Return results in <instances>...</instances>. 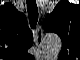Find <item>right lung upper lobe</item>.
<instances>
[{
    "label": "right lung upper lobe",
    "mask_w": 80,
    "mask_h": 60,
    "mask_svg": "<svg viewBox=\"0 0 80 60\" xmlns=\"http://www.w3.org/2000/svg\"><path fill=\"white\" fill-rule=\"evenodd\" d=\"M0 42L4 50L27 54L33 38L27 25L26 16L12 4L0 7Z\"/></svg>",
    "instance_id": "right-lung-upper-lobe-1"
}]
</instances>
